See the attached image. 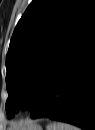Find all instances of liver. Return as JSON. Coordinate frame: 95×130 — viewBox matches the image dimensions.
I'll return each mask as SVG.
<instances>
[{
    "label": "liver",
    "mask_w": 95,
    "mask_h": 130,
    "mask_svg": "<svg viewBox=\"0 0 95 130\" xmlns=\"http://www.w3.org/2000/svg\"><path fill=\"white\" fill-rule=\"evenodd\" d=\"M27 123H29V122H27ZM27 123H24V124H21V125H16V126H14V127H11V129L20 130L21 128H25V127H23V125H25V124H27ZM11 129H10V130H11Z\"/></svg>",
    "instance_id": "liver-1"
}]
</instances>
